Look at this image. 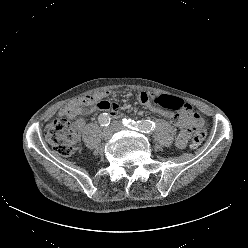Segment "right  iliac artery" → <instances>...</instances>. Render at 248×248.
<instances>
[{
	"label": "right iliac artery",
	"mask_w": 248,
	"mask_h": 248,
	"mask_svg": "<svg viewBox=\"0 0 248 248\" xmlns=\"http://www.w3.org/2000/svg\"><path fill=\"white\" fill-rule=\"evenodd\" d=\"M98 121L100 123L101 126H105L107 127L110 124V117L107 113H102L99 117H98Z\"/></svg>",
	"instance_id": "obj_1"
}]
</instances>
